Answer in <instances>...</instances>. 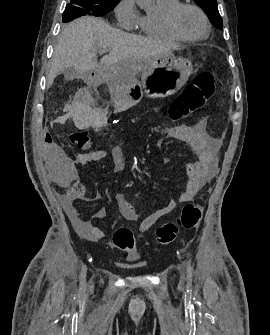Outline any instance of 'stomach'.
I'll return each mask as SVG.
<instances>
[{
	"label": "stomach",
	"mask_w": 270,
	"mask_h": 335,
	"mask_svg": "<svg viewBox=\"0 0 270 335\" xmlns=\"http://www.w3.org/2000/svg\"><path fill=\"white\" fill-rule=\"evenodd\" d=\"M193 68L191 60L173 54L150 58L143 68L141 82L122 80V102L131 108L141 102L143 94L147 98L172 96L186 84L189 76L193 74Z\"/></svg>",
	"instance_id": "stomach-1"
}]
</instances>
